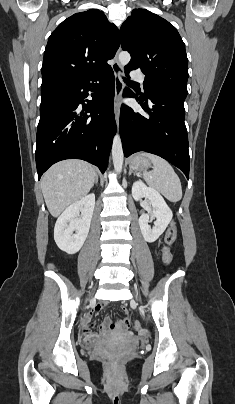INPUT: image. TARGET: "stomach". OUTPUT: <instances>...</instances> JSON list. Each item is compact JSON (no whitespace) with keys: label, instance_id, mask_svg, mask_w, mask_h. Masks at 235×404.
<instances>
[{"label":"stomach","instance_id":"stomach-1","mask_svg":"<svg viewBox=\"0 0 235 404\" xmlns=\"http://www.w3.org/2000/svg\"><path fill=\"white\" fill-rule=\"evenodd\" d=\"M150 167L151 162L149 159L141 154L134 156L130 161V169H132L135 173H146Z\"/></svg>","mask_w":235,"mask_h":404}]
</instances>
